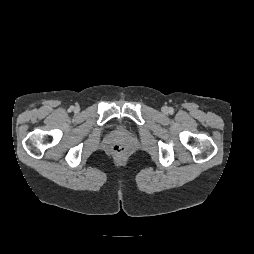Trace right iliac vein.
Returning a JSON list of instances; mask_svg holds the SVG:
<instances>
[{"instance_id": "1", "label": "right iliac vein", "mask_w": 254, "mask_h": 254, "mask_svg": "<svg viewBox=\"0 0 254 254\" xmlns=\"http://www.w3.org/2000/svg\"><path fill=\"white\" fill-rule=\"evenodd\" d=\"M75 111H79V107H75Z\"/></svg>"}]
</instances>
